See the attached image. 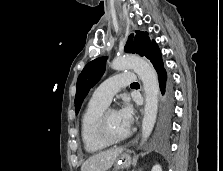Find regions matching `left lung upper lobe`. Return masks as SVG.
I'll use <instances>...</instances> for the list:
<instances>
[{
    "label": "left lung upper lobe",
    "instance_id": "left-lung-upper-lobe-1",
    "mask_svg": "<svg viewBox=\"0 0 223 171\" xmlns=\"http://www.w3.org/2000/svg\"><path fill=\"white\" fill-rule=\"evenodd\" d=\"M155 41H151L147 32L136 31L128 37L125 51L130 53H137L141 56H146L151 45ZM107 57L103 56L89 62L77 80L76 96H75V110L78 114L81 104L88 94L91 87H93L102 77L106 68Z\"/></svg>",
    "mask_w": 223,
    "mask_h": 171
}]
</instances>
